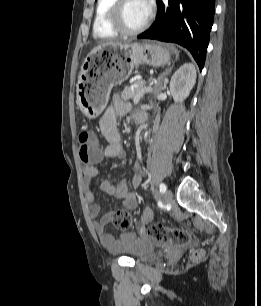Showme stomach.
<instances>
[{"instance_id": "stomach-1", "label": "stomach", "mask_w": 261, "mask_h": 306, "mask_svg": "<svg viewBox=\"0 0 261 306\" xmlns=\"http://www.w3.org/2000/svg\"><path fill=\"white\" fill-rule=\"evenodd\" d=\"M169 61V50L152 41L94 48L85 58L79 77L80 110L89 118L97 117L106 107L112 88L127 80L135 67H159Z\"/></svg>"}]
</instances>
